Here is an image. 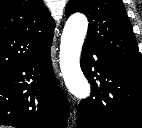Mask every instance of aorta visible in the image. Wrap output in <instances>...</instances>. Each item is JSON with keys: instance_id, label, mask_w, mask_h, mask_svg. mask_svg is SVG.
Segmentation results:
<instances>
[{"instance_id": "obj_1", "label": "aorta", "mask_w": 142, "mask_h": 128, "mask_svg": "<svg viewBox=\"0 0 142 128\" xmlns=\"http://www.w3.org/2000/svg\"><path fill=\"white\" fill-rule=\"evenodd\" d=\"M88 29L83 14L71 16L65 26L60 44V68L68 90L78 99L90 95V85L80 67V55Z\"/></svg>"}]
</instances>
